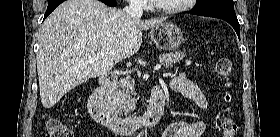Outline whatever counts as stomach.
Here are the masks:
<instances>
[{
    "label": "stomach",
    "mask_w": 280,
    "mask_h": 137,
    "mask_svg": "<svg viewBox=\"0 0 280 137\" xmlns=\"http://www.w3.org/2000/svg\"><path fill=\"white\" fill-rule=\"evenodd\" d=\"M150 38L155 46L163 51L176 50L183 42L180 28L171 22H164L153 27Z\"/></svg>",
    "instance_id": "0dacf381"
}]
</instances>
